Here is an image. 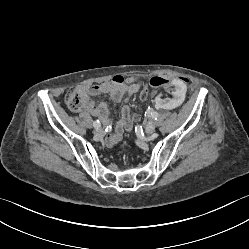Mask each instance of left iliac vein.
<instances>
[{"mask_svg": "<svg viewBox=\"0 0 249 249\" xmlns=\"http://www.w3.org/2000/svg\"><path fill=\"white\" fill-rule=\"evenodd\" d=\"M155 128L156 123L153 120H150L145 127L146 134H152L155 131Z\"/></svg>", "mask_w": 249, "mask_h": 249, "instance_id": "4c4485c4", "label": "left iliac vein"}]
</instances>
